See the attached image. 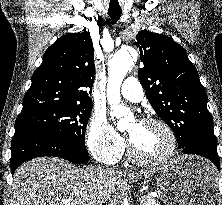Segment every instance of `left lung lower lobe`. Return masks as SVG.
Here are the masks:
<instances>
[{"label": "left lung lower lobe", "instance_id": "obj_1", "mask_svg": "<svg viewBox=\"0 0 222 205\" xmlns=\"http://www.w3.org/2000/svg\"><path fill=\"white\" fill-rule=\"evenodd\" d=\"M184 154H196L206 159L210 160L218 170H220V160L217 153V147L207 145L202 142L191 143L182 149H180Z\"/></svg>", "mask_w": 222, "mask_h": 205}]
</instances>
